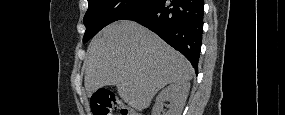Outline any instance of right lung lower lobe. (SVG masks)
I'll list each match as a JSON object with an SVG mask.
<instances>
[{
	"mask_svg": "<svg viewBox=\"0 0 285 115\" xmlns=\"http://www.w3.org/2000/svg\"><path fill=\"white\" fill-rule=\"evenodd\" d=\"M203 0H153L121 20H134L180 51L198 72L203 33Z\"/></svg>",
	"mask_w": 285,
	"mask_h": 115,
	"instance_id": "1",
	"label": "right lung lower lobe"
}]
</instances>
